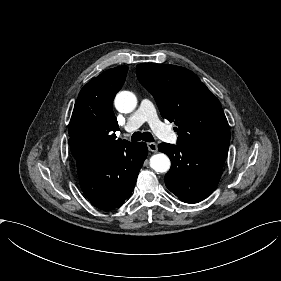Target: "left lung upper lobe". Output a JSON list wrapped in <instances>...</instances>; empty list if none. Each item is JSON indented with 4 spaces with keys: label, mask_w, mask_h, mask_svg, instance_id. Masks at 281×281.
<instances>
[{
    "label": "left lung upper lobe",
    "mask_w": 281,
    "mask_h": 281,
    "mask_svg": "<svg viewBox=\"0 0 281 281\" xmlns=\"http://www.w3.org/2000/svg\"><path fill=\"white\" fill-rule=\"evenodd\" d=\"M163 118L178 128L177 145L190 150L228 151L230 129L218 99L192 71L169 64L136 67Z\"/></svg>",
    "instance_id": "obj_1"
}]
</instances>
